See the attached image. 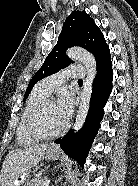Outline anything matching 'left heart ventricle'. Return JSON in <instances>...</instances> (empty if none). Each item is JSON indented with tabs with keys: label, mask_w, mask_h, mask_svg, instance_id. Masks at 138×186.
Instances as JSON below:
<instances>
[{
	"label": "left heart ventricle",
	"mask_w": 138,
	"mask_h": 186,
	"mask_svg": "<svg viewBox=\"0 0 138 186\" xmlns=\"http://www.w3.org/2000/svg\"><path fill=\"white\" fill-rule=\"evenodd\" d=\"M65 125L56 102L46 106L37 119V127L44 133H54Z\"/></svg>",
	"instance_id": "left-heart-ventricle-1"
}]
</instances>
